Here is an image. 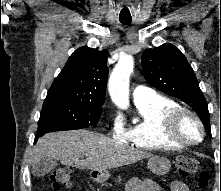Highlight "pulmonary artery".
I'll return each instance as SVG.
<instances>
[{
	"mask_svg": "<svg viewBox=\"0 0 221 191\" xmlns=\"http://www.w3.org/2000/svg\"><path fill=\"white\" fill-rule=\"evenodd\" d=\"M156 95L153 89L142 85H137L132 92V98L135 104L150 101Z\"/></svg>",
	"mask_w": 221,
	"mask_h": 191,
	"instance_id": "e3ab8cb5",
	"label": "pulmonary artery"
}]
</instances>
